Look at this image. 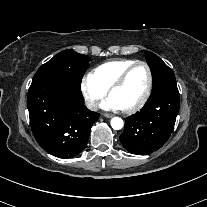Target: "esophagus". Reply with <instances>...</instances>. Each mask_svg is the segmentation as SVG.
<instances>
[{
    "instance_id": "34e87169",
    "label": "esophagus",
    "mask_w": 207,
    "mask_h": 207,
    "mask_svg": "<svg viewBox=\"0 0 207 207\" xmlns=\"http://www.w3.org/2000/svg\"><path fill=\"white\" fill-rule=\"evenodd\" d=\"M104 117H106V118H112L113 115H112V114H109V113H105V114H104Z\"/></svg>"
}]
</instances>
